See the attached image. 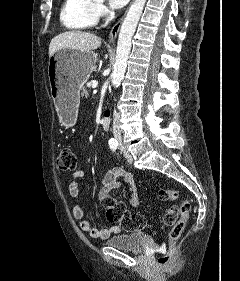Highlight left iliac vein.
Segmentation results:
<instances>
[{
	"instance_id": "4c4485c4",
	"label": "left iliac vein",
	"mask_w": 240,
	"mask_h": 281,
	"mask_svg": "<svg viewBox=\"0 0 240 281\" xmlns=\"http://www.w3.org/2000/svg\"><path fill=\"white\" fill-rule=\"evenodd\" d=\"M123 152H124V157L127 160V162L132 163L133 162L132 155L125 149L123 150Z\"/></svg>"
}]
</instances>
